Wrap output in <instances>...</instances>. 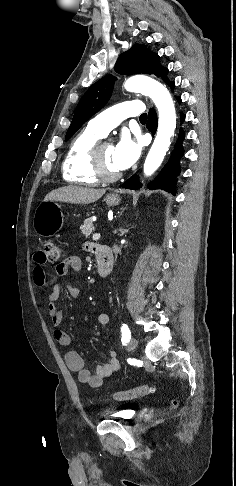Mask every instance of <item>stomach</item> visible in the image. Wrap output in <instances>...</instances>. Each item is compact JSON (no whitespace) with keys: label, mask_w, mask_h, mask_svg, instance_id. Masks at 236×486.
<instances>
[{"label":"stomach","mask_w":236,"mask_h":486,"mask_svg":"<svg viewBox=\"0 0 236 486\" xmlns=\"http://www.w3.org/2000/svg\"><path fill=\"white\" fill-rule=\"evenodd\" d=\"M118 194H110L105 198L108 206H116L120 203ZM64 216L61 206L56 201H43L35 210L33 217L34 231L42 237H49L63 227Z\"/></svg>","instance_id":"stomach-1"}]
</instances>
